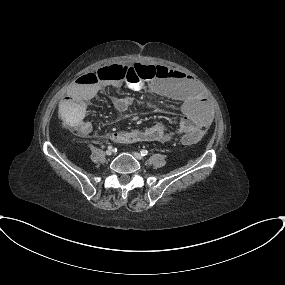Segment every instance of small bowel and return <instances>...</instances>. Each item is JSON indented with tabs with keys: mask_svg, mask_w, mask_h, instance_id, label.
<instances>
[{
	"mask_svg": "<svg viewBox=\"0 0 285 285\" xmlns=\"http://www.w3.org/2000/svg\"><path fill=\"white\" fill-rule=\"evenodd\" d=\"M115 77L106 78L104 81L87 84L77 80L70 86L69 94L59 103V114L63 120L75 121L80 119L79 131L82 135H89L92 132L90 122H83L88 110V102L94 98L102 87L119 88L127 84L133 91L144 88V84L130 68L120 65ZM149 88L156 94L162 95L171 101L179 104L183 117L176 130L172 129L165 121H157L151 127L132 130L118 131L106 135V138L118 145L143 143V142H169L176 138L199 130H204L211 124L209 105L202 93L199 91L194 79L181 71L168 72L165 78L152 81ZM116 104H123L128 107L133 104L129 96H121L114 99Z\"/></svg>",
	"mask_w": 285,
	"mask_h": 285,
	"instance_id": "small-bowel-1",
	"label": "small bowel"
}]
</instances>
